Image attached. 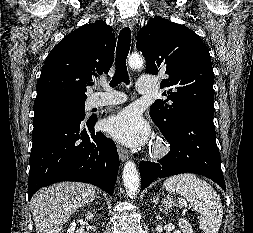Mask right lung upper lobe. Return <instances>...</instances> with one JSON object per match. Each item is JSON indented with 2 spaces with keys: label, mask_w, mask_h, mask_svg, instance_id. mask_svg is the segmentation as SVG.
Instances as JSON below:
<instances>
[{
  "label": "right lung upper lobe",
  "mask_w": 253,
  "mask_h": 233,
  "mask_svg": "<svg viewBox=\"0 0 253 233\" xmlns=\"http://www.w3.org/2000/svg\"><path fill=\"white\" fill-rule=\"evenodd\" d=\"M116 39L102 20L65 36L48 54L37 81L34 104L51 99L86 100V87L97 74L108 73Z\"/></svg>",
  "instance_id": "cb5924a9"
}]
</instances>
